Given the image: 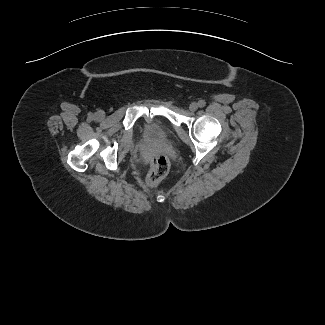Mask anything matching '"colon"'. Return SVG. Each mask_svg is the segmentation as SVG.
Instances as JSON below:
<instances>
[{"label": "colon", "instance_id": "1", "mask_svg": "<svg viewBox=\"0 0 325 325\" xmlns=\"http://www.w3.org/2000/svg\"><path fill=\"white\" fill-rule=\"evenodd\" d=\"M169 168V160L164 155L155 156L147 175L148 185L153 186L160 182L167 175Z\"/></svg>", "mask_w": 325, "mask_h": 325}]
</instances>
